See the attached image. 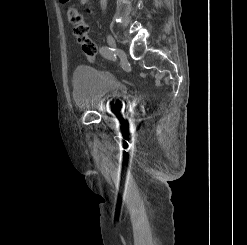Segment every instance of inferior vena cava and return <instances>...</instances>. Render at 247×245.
Instances as JSON below:
<instances>
[{"label":"inferior vena cava","mask_w":247,"mask_h":245,"mask_svg":"<svg viewBox=\"0 0 247 245\" xmlns=\"http://www.w3.org/2000/svg\"><path fill=\"white\" fill-rule=\"evenodd\" d=\"M100 5L102 10H105L107 6V0H100Z\"/></svg>","instance_id":"inferior-vena-cava-1"}]
</instances>
